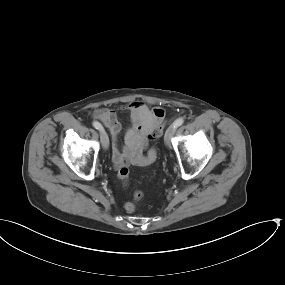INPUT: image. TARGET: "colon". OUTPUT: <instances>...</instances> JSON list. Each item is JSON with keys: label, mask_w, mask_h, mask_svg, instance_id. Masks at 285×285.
I'll list each match as a JSON object with an SVG mask.
<instances>
[{"label": "colon", "mask_w": 285, "mask_h": 285, "mask_svg": "<svg viewBox=\"0 0 285 285\" xmlns=\"http://www.w3.org/2000/svg\"><path fill=\"white\" fill-rule=\"evenodd\" d=\"M163 130L162 123L158 124L156 128L150 133L149 139L156 140L158 139ZM129 168L127 166L120 167L117 172L118 179L122 182H127L129 178ZM142 198V193L140 191L134 192V201H129L125 204L126 211L133 213L137 210V204L135 202L139 201Z\"/></svg>", "instance_id": "colon-1"}]
</instances>
